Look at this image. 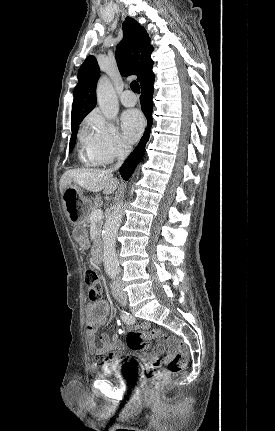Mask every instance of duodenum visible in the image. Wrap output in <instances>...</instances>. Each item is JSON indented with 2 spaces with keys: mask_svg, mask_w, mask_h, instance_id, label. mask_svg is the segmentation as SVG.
<instances>
[{
  "mask_svg": "<svg viewBox=\"0 0 275 431\" xmlns=\"http://www.w3.org/2000/svg\"><path fill=\"white\" fill-rule=\"evenodd\" d=\"M92 257L96 264H101L103 262V247L101 240H97L93 245Z\"/></svg>",
  "mask_w": 275,
  "mask_h": 431,
  "instance_id": "duodenum-1",
  "label": "duodenum"
}]
</instances>
